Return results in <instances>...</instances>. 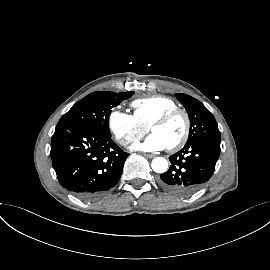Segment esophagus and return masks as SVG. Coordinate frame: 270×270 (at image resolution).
<instances>
[{"label": "esophagus", "instance_id": "1", "mask_svg": "<svg viewBox=\"0 0 270 270\" xmlns=\"http://www.w3.org/2000/svg\"><path fill=\"white\" fill-rule=\"evenodd\" d=\"M143 156H145L146 158H153L154 154L144 153Z\"/></svg>", "mask_w": 270, "mask_h": 270}]
</instances>
